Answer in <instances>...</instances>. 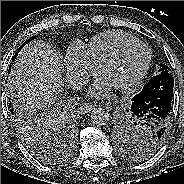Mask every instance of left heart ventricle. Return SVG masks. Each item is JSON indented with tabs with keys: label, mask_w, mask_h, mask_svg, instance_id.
<instances>
[{
	"label": "left heart ventricle",
	"mask_w": 184,
	"mask_h": 184,
	"mask_svg": "<svg viewBox=\"0 0 184 184\" xmlns=\"http://www.w3.org/2000/svg\"><path fill=\"white\" fill-rule=\"evenodd\" d=\"M147 57L145 48L136 46L127 50L102 73L103 78L114 88L131 81L141 70Z\"/></svg>",
	"instance_id": "b2bd125f"
}]
</instances>
